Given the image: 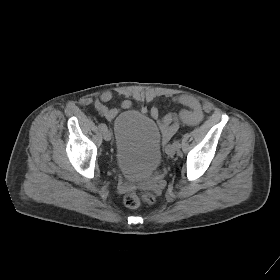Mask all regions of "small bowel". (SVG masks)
Listing matches in <instances>:
<instances>
[{"label":"small bowel","instance_id":"small-bowel-1","mask_svg":"<svg viewBox=\"0 0 280 280\" xmlns=\"http://www.w3.org/2000/svg\"><path fill=\"white\" fill-rule=\"evenodd\" d=\"M113 98L111 91H104L95 101V109L106 119H113L118 114V109L110 108L107 103ZM174 101L185 108L178 114L170 113L160 117L159 110L156 107L151 108V116L158 121L163 141H168L178 130L179 123H184L188 126L199 124L204 117V112L199 101L191 96L181 95L174 98ZM130 100H123L121 107L123 109L131 108Z\"/></svg>","mask_w":280,"mask_h":280}]
</instances>
